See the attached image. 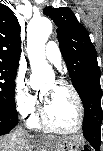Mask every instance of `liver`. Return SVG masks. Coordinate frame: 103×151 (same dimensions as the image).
Segmentation results:
<instances>
[{
  "label": "liver",
  "instance_id": "6515ba94",
  "mask_svg": "<svg viewBox=\"0 0 103 151\" xmlns=\"http://www.w3.org/2000/svg\"><path fill=\"white\" fill-rule=\"evenodd\" d=\"M63 137L48 136L42 138V141H34L31 136L23 134L21 132H15L8 134L0 139L1 151H32L33 146L31 143H37L34 147L40 149V151H46L53 143L63 140Z\"/></svg>",
  "mask_w": 103,
  "mask_h": 151
}]
</instances>
